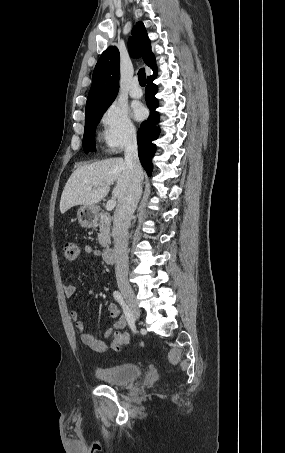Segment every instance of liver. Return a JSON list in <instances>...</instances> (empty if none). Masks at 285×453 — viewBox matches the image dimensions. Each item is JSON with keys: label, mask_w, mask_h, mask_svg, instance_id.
<instances>
[{"label": "liver", "mask_w": 285, "mask_h": 453, "mask_svg": "<svg viewBox=\"0 0 285 453\" xmlns=\"http://www.w3.org/2000/svg\"><path fill=\"white\" fill-rule=\"evenodd\" d=\"M132 181V172L122 158H110L79 166L69 177L60 200L64 214L77 205L94 206L99 203L116 182L112 198L118 201L125 196Z\"/></svg>", "instance_id": "6515ba94"}]
</instances>
